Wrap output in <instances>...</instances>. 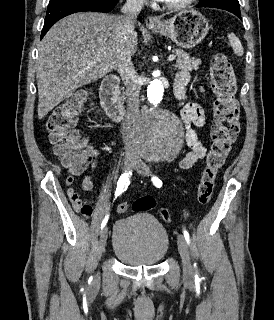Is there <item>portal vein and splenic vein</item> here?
Returning a JSON list of instances; mask_svg holds the SVG:
<instances>
[{
	"instance_id": "obj_1",
	"label": "portal vein and splenic vein",
	"mask_w": 274,
	"mask_h": 320,
	"mask_svg": "<svg viewBox=\"0 0 274 320\" xmlns=\"http://www.w3.org/2000/svg\"><path fill=\"white\" fill-rule=\"evenodd\" d=\"M176 56H169L168 60H175ZM95 62H88V66H94Z\"/></svg>"
}]
</instances>
